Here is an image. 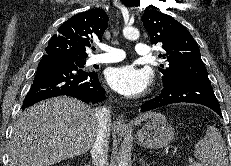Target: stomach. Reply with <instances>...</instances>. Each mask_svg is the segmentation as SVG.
Returning <instances> with one entry per match:
<instances>
[{"label":"stomach","mask_w":231,"mask_h":166,"mask_svg":"<svg viewBox=\"0 0 231 166\" xmlns=\"http://www.w3.org/2000/svg\"><path fill=\"white\" fill-rule=\"evenodd\" d=\"M149 119L135 136L138 144L150 149L166 147L174 138V129L159 113H155Z\"/></svg>","instance_id":"stomach-1"}]
</instances>
